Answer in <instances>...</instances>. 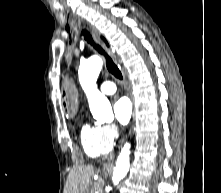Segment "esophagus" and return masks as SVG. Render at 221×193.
Returning <instances> with one entry per match:
<instances>
[{
	"mask_svg": "<svg viewBox=\"0 0 221 193\" xmlns=\"http://www.w3.org/2000/svg\"><path fill=\"white\" fill-rule=\"evenodd\" d=\"M78 21L79 23H81V22H83L86 26H87V28L91 31V33H92V35H93V37H94V40L98 43V44H100L104 49H105V51L112 57V59L116 62V60H115V57H114V54H113V52L105 45V43L101 40V38H100V36H99V34H98V32H97V30H96V28L94 27V26H92L90 23H88V22H86L85 20H83V19H81L80 17H78V16H76V15H72V14H70L69 15V21ZM125 78V77H124ZM131 104H132V108L134 109L133 110V116H134V112H135V101L133 100V97L131 96ZM132 127L135 125L133 122L130 124ZM130 128L129 130L132 132L134 129L133 128Z\"/></svg>",
	"mask_w": 221,
	"mask_h": 193,
	"instance_id": "esophagus-1",
	"label": "esophagus"
}]
</instances>
